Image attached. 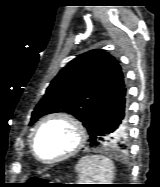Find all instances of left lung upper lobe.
<instances>
[{"label": "left lung upper lobe", "mask_w": 160, "mask_h": 187, "mask_svg": "<svg viewBox=\"0 0 160 187\" xmlns=\"http://www.w3.org/2000/svg\"><path fill=\"white\" fill-rule=\"evenodd\" d=\"M123 87L124 76L118 61L104 50H91L70 61L52 80L32 112V125L43 115L67 112L77 117L88 132L93 128L103 106ZM120 127L113 139L120 137L127 147V133Z\"/></svg>", "instance_id": "left-lung-upper-lobe-1"}]
</instances>
